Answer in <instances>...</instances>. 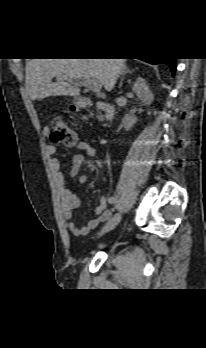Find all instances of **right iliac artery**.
<instances>
[{
  "mask_svg": "<svg viewBox=\"0 0 206 348\" xmlns=\"http://www.w3.org/2000/svg\"><path fill=\"white\" fill-rule=\"evenodd\" d=\"M107 200H108L109 202H113V201L115 200V197H114L113 195H109V196L107 197Z\"/></svg>",
  "mask_w": 206,
  "mask_h": 348,
  "instance_id": "obj_1",
  "label": "right iliac artery"
}]
</instances>
